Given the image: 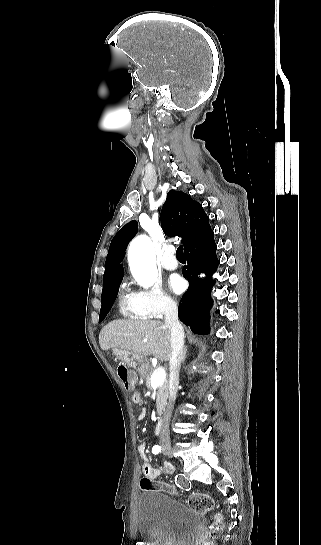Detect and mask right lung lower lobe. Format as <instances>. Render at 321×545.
Listing matches in <instances>:
<instances>
[{
  "instance_id": "obj_1",
  "label": "right lung lower lobe",
  "mask_w": 321,
  "mask_h": 545,
  "mask_svg": "<svg viewBox=\"0 0 321 545\" xmlns=\"http://www.w3.org/2000/svg\"><path fill=\"white\" fill-rule=\"evenodd\" d=\"M216 249L210 225L184 247L187 265L182 273L189 281V288L179 303L178 316L185 325L190 326L192 332L198 334L209 333L207 324L213 303L210 292L215 284L211 275L219 264ZM200 273H205L206 278H198ZM114 300L110 302L109 310Z\"/></svg>"
}]
</instances>
